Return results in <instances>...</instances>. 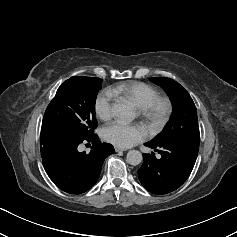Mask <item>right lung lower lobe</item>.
Wrapping results in <instances>:
<instances>
[{
	"label": "right lung lower lobe",
	"mask_w": 237,
	"mask_h": 237,
	"mask_svg": "<svg viewBox=\"0 0 237 237\" xmlns=\"http://www.w3.org/2000/svg\"><path fill=\"white\" fill-rule=\"evenodd\" d=\"M81 143H91V151L79 152ZM40 144L45 171L56 186L70 194L89 190L98 180L105 158L114 153L113 146L98 141L96 134L76 138L51 128L41 130Z\"/></svg>",
	"instance_id": "98d812e1"
}]
</instances>
